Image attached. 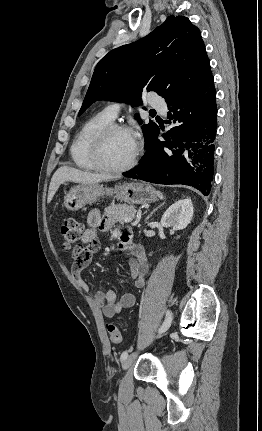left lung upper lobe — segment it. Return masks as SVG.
Instances as JSON below:
<instances>
[{"label": "left lung upper lobe", "instance_id": "left-lung-upper-lobe-1", "mask_svg": "<svg viewBox=\"0 0 262 431\" xmlns=\"http://www.w3.org/2000/svg\"><path fill=\"white\" fill-rule=\"evenodd\" d=\"M212 77L199 29L184 16H170L148 36L113 49L99 61L79 115L97 100L137 106L145 90L167 103L178 101ZM157 128L152 121L142 126L146 144Z\"/></svg>", "mask_w": 262, "mask_h": 431}]
</instances>
